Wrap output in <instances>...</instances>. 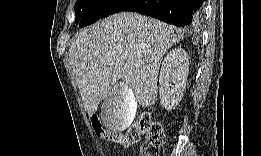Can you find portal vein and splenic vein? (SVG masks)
Masks as SVG:
<instances>
[{
  "label": "portal vein and splenic vein",
  "instance_id": "18ae733b",
  "mask_svg": "<svg viewBox=\"0 0 261 156\" xmlns=\"http://www.w3.org/2000/svg\"><path fill=\"white\" fill-rule=\"evenodd\" d=\"M125 66H126V67H129V65H128V64H125Z\"/></svg>",
  "mask_w": 261,
  "mask_h": 156
}]
</instances>
